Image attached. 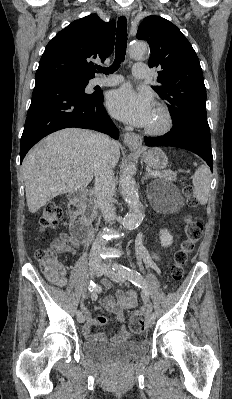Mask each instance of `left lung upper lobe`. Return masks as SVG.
I'll list each match as a JSON object with an SVG mask.
<instances>
[{"label":"left lung upper lobe","mask_w":232,"mask_h":399,"mask_svg":"<svg viewBox=\"0 0 232 399\" xmlns=\"http://www.w3.org/2000/svg\"><path fill=\"white\" fill-rule=\"evenodd\" d=\"M136 36L150 45L149 67L160 70V85L152 88L169 108L171 130L211 141L203 73L190 42L173 23L160 16L146 17Z\"/></svg>","instance_id":"left-lung-upper-lobe-1"}]
</instances>
